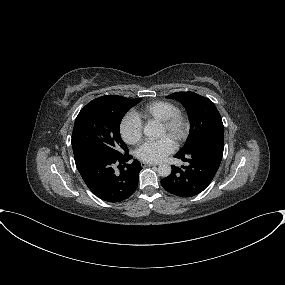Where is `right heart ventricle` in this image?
Instances as JSON below:
<instances>
[{"mask_svg":"<svg viewBox=\"0 0 285 285\" xmlns=\"http://www.w3.org/2000/svg\"><path fill=\"white\" fill-rule=\"evenodd\" d=\"M177 110V107L168 101H152L149 102L135 111V115L141 120L145 121H162L174 111Z\"/></svg>","mask_w":285,"mask_h":285,"instance_id":"e07e8e85","label":"right heart ventricle"}]
</instances>
